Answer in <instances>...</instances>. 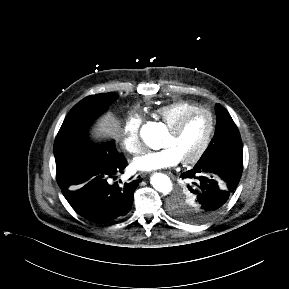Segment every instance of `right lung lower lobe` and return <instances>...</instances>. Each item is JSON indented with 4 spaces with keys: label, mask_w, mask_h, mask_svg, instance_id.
<instances>
[{
    "label": "right lung lower lobe",
    "mask_w": 289,
    "mask_h": 289,
    "mask_svg": "<svg viewBox=\"0 0 289 289\" xmlns=\"http://www.w3.org/2000/svg\"><path fill=\"white\" fill-rule=\"evenodd\" d=\"M123 155L103 151L100 155L78 153L56 162L57 182L72 208L85 219L108 223L123 218L131 209L140 179L119 186L109 178L123 173Z\"/></svg>",
    "instance_id": "98d812e1"
}]
</instances>
